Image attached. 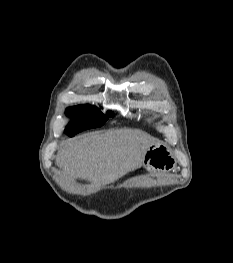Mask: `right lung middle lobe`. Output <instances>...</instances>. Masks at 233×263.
I'll use <instances>...</instances> for the list:
<instances>
[{
  "mask_svg": "<svg viewBox=\"0 0 233 263\" xmlns=\"http://www.w3.org/2000/svg\"><path fill=\"white\" fill-rule=\"evenodd\" d=\"M66 114L67 116L72 117V121L65 129V133L70 137L81 131L100 127L108 120L109 117L113 116L110 111L103 114L99 109L90 105L69 107L66 109Z\"/></svg>",
  "mask_w": 233,
  "mask_h": 263,
  "instance_id": "right-lung-middle-lobe-1",
  "label": "right lung middle lobe"
}]
</instances>
